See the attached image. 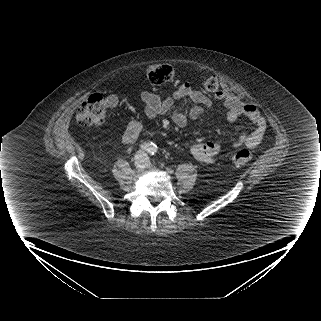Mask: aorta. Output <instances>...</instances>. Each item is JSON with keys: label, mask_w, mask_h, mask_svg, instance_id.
Masks as SVG:
<instances>
[{"label": "aorta", "mask_w": 321, "mask_h": 321, "mask_svg": "<svg viewBox=\"0 0 321 321\" xmlns=\"http://www.w3.org/2000/svg\"><path fill=\"white\" fill-rule=\"evenodd\" d=\"M157 151V146L155 144H150L148 147V152L149 153H155Z\"/></svg>", "instance_id": "obj_1"}]
</instances>
